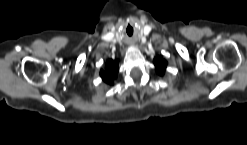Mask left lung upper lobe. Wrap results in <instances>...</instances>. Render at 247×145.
Returning a JSON list of instances; mask_svg holds the SVG:
<instances>
[{
    "instance_id": "obj_1",
    "label": "left lung upper lobe",
    "mask_w": 247,
    "mask_h": 145,
    "mask_svg": "<svg viewBox=\"0 0 247 145\" xmlns=\"http://www.w3.org/2000/svg\"><path fill=\"white\" fill-rule=\"evenodd\" d=\"M154 64L156 66L157 72L160 75H163L166 66H167V62L165 60L162 59V57H158L156 59H154Z\"/></svg>"
}]
</instances>
